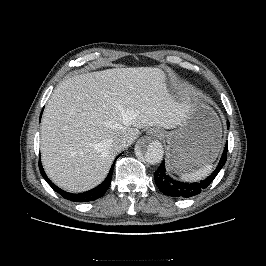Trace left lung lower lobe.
Returning <instances> with one entry per match:
<instances>
[{
  "label": "left lung lower lobe",
  "mask_w": 266,
  "mask_h": 266,
  "mask_svg": "<svg viewBox=\"0 0 266 266\" xmlns=\"http://www.w3.org/2000/svg\"><path fill=\"white\" fill-rule=\"evenodd\" d=\"M227 127H229V121H227ZM228 142L225 145V149L221 156V159L216 167L215 171L201 182L195 183H183L171 178L165 169L164 161L161 163L159 168L155 171V183L162 193L167 196L178 197V198H189L201 193L207 188L214 178L217 176L219 171L224 166L227 160Z\"/></svg>",
  "instance_id": "left-lung-lower-lobe-1"
}]
</instances>
